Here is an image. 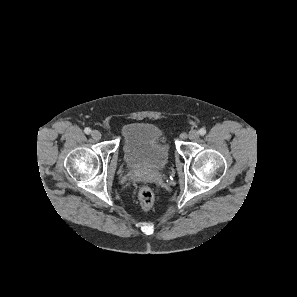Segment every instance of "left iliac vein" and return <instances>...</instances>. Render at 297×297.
<instances>
[{"instance_id":"left-iliac-vein-1","label":"left iliac vein","mask_w":297,"mask_h":297,"mask_svg":"<svg viewBox=\"0 0 297 297\" xmlns=\"http://www.w3.org/2000/svg\"><path fill=\"white\" fill-rule=\"evenodd\" d=\"M189 139L192 141H196L199 138V132L196 130H191L188 135Z\"/></svg>"}]
</instances>
